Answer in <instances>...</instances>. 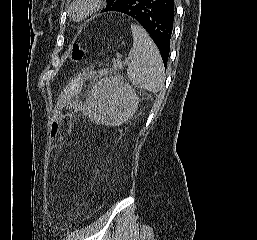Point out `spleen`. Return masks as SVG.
<instances>
[{"label": "spleen", "mask_w": 257, "mask_h": 240, "mask_svg": "<svg viewBox=\"0 0 257 240\" xmlns=\"http://www.w3.org/2000/svg\"><path fill=\"white\" fill-rule=\"evenodd\" d=\"M131 31L133 47L129 52L128 78L136 87L158 93L164 89L165 82L160 52L142 27L132 24Z\"/></svg>", "instance_id": "obj_1"}]
</instances>
